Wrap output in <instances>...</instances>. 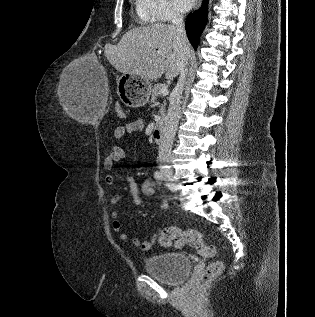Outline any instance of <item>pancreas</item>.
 I'll use <instances>...</instances> for the list:
<instances>
[{"instance_id":"cf45deb5","label":"pancreas","mask_w":315,"mask_h":317,"mask_svg":"<svg viewBox=\"0 0 315 317\" xmlns=\"http://www.w3.org/2000/svg\"><path fill=\"white\" fill-rule=\"evenodd\" d=\"M164 88L162 84H157L152 89L151 102H155L157 98L161 95V89ZM163 111V110H162Z\"/></svg>"}]
</instances>
